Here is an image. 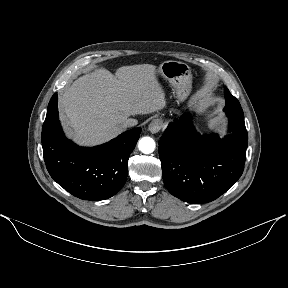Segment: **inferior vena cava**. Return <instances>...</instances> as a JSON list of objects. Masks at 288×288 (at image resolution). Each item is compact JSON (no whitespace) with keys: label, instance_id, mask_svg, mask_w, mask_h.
Wrapping results in <instances>:
<instances>
[{"label":"inferior vena cava","instance_id":"inferior-vena-cava-1","mask_svg":"<svg viewBox=\"0 0 288 288\" xmlns=\"http://www.w3.org/2000/svg\"><path fill=\"white\" fill-rule=\"evenodd\" d=\"M138 121L136 119H132V118H128L123 122V127L127 128V127H133L135 125H137Z\"/></svg>","mask_w":288,"mask_h":288}]
</instances>
